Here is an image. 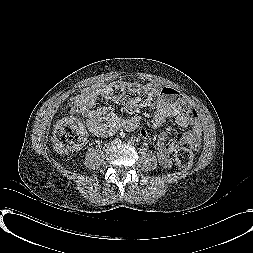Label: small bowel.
Segmentation results:
<instances>
[{
    "instance_id": "obj_1",
    "label": "small bowel",
    "mask_w": 253,
    "mask_h": 253,
    "mask_svg": "<svg viewBox=\"0 0 253 253\" xmlns=\"http://www.w3.org/2000/svg\"><path fill=\"white\" fill-rule=\"evenodd\" d=\"M145 87L152 91L149 109L159 129L155 154L163 167H170L171 156L180 148L188 147L194 151L199 149L202 128L198 114L186 98L173 88L154 83H147ZM101 88V85L95 84L72 96L70 99L72 116L84 117L90 132L100 138L108 137L121 128L134 130L138 124L137 114L141 109L140 106L127 103L125 105L127 117L119 116L111 106L96 107ZM168 119H173L180 127L189 129L180 139L165 145L167 133L163 130V125ZM140 135L145 140L150 139V132L146 128L140 130Z\"/></svg>"
}]
</instances>
